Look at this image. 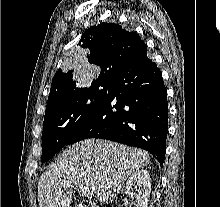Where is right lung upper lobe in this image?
<instances>
[{
    "instance_id": "obj_1",
    "label": "right lung upper lobe",
    "mask_w": 220,
    "mask_h": 207,
    "mask_svg": "<svg viewBox=\"0 0 220 207\" xmlns=\"http://www.w3.org/2000/svg\"><path fill=\"white\" fill-rule=\"evenodd\" d=\"M78 46L87 50L88 62L101 69L98 78L91 85L109 84L130 63L147 52V45L136 32L107 22L87 29ZM80 88L74 70L59 69L53 77L47 105Z\"/></svg>"
}]
</instances>
